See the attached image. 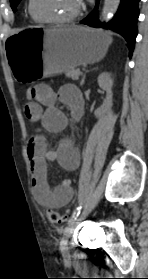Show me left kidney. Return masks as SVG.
Masks as SVG:
<instances>
[{"label": "left kidney", "instance_id": "1", "mask_svg": "<svg viewBox=\"0 0 148 279\" xmlns=\"http://www.w3.org/2000/svg\"><path fill=\"white\" fill-rule=\"evenodd\" d=\"M98 85L101 89L106 91V98L104 99L103 105L95 110L94 115L99 118L103 116L112 106V101H113V92H112V87H113V79L111 75L107 72L101 73L98 76Z\"/></svg>", "mask_w": 148, "mask_h": 279}]
</instances>
